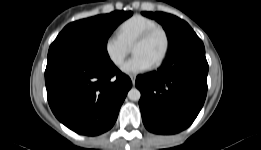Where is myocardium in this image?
<instances>
[{"mask_svg":"<svg viewBox=\"0 0 261 150\" xmlns=\"http://www.w3.org/2000/svg\"><path fill=\"white\" fill-rule=\"evenodd\" d=\"M157 32H161L163 34L165 45H164V50H163L160 58L154 64H152V66H151L152 68L160 67L168 56L169 49H170V38H169V34H168L167 30L160 25L154 26V27L146 30L143 34H141L132 45V51H133V49L137 45H140V44L148 41Z\"/></svg>","mask_w":261,"mask_h":150,"instance_id":"1","label":"myocardium"}]
</instances>
